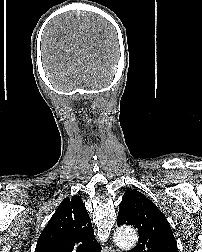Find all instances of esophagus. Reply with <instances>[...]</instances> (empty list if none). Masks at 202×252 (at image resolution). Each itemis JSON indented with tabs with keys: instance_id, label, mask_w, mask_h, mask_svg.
<instances>
[{
	"instance_id": "34e87169",
	"label": "esophagus",
	"mask_w": 202,
	"mask_h": 252,
	"mask_svg": "<svg viewBox=\"0 0 202 252\" xmlns=\"http://www.w3.org/2000/svg\"><path fill=\"white\" fill-rule=\"evenodd\" d=\"M112 252H116L115 250H113ZM117 252H119V251H117Z\"/></svg>"
}]
</instances>
